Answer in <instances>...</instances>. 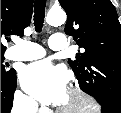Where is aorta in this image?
Segmentation results:
<instances>
[{"instance_id": "aorta-1", "label": "aorta", "mask_w": 121, "mask_h": 113, "mask_svg": "<svg viewBox=\"0 0 121 113\" xmlns=\"http://www.w3.org/2000/svg\"><path fill=\"white\" fill-rule=\"evenodd\" d=\"M66 14L62 9H51L47 13V22L51 26H58L65 22Z\"/></svg>"}]
</instances>
